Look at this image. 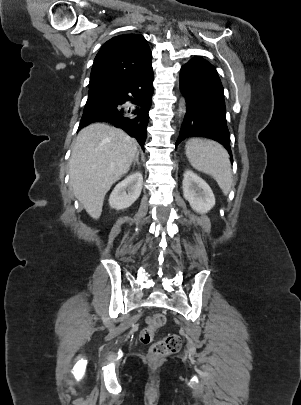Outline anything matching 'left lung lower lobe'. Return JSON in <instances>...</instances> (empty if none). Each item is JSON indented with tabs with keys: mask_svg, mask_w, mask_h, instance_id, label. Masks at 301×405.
Wrapping results in <instances>:
<instances>
[{
	"mask_svg": "<svg viewBox=\"0 0 301 405\" xmlns=\"http://www.w3.org/2000/svg\"><path fill=\"white\" fill-rule=\"evenodd\" d=\"M179 82L187 112L175 145L185 138L204 137L222 144L232 157L223 86L215 67L194 57L182 66Z\"/></svg>",
	"mask_w": 301,
	"mask_h": 405,
	"instance_id": "obj_1",
	"label": "left lung lower lobe"
}]
</instances>
